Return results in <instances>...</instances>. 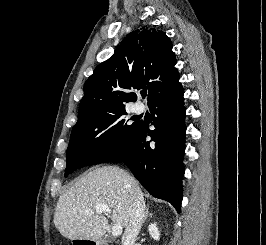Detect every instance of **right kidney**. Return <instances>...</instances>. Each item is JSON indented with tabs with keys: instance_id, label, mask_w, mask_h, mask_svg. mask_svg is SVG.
<instances>
[{
	"instance_id": "obj_1",
	"label": "right kidney",
	"mask_w": 266,
	"mask_h": 245,
	"mask_svg": "<svg viewBox=\"0 0 266 245\" xmlns=\"http://www.w3.org/2000/svg\"><path fill=\"white\" fill-rule=\"evenodd\" d=\"M148 233L151 235L152 239H155V241H159L160 239V231H158L157 225L155 223H150L148 227Z\"/></svg>"
}]
</instances>
